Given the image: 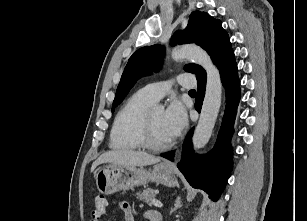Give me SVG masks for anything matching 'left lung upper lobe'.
<instances>
[{
    "label": "left lung upper lobe",
    "mask_w": 307,
    "mask_h": 221,
    "mask_svg": "<svg viewBox=\"0 0 307 221\" xmlns=\"http://www.w3.org/2000/svg\"><path fill=\"white\" fill-rule=\"evenodd\" d=\"M172 43H195L200 45L211 56L213 62L220 63L233 53L227 32L218 19L205 12H192L188 25L183 31H178L172 37ZM164 48L161 45L146 46L138 49L129 58L113 101L112 112L117 107L139 78L157 70L162 64ZM187 72L196 74L197 79L206 77V72L199 65L188 64Z\"/></svg>",
    "instance_id": "obj_1"
}]
</instances>
